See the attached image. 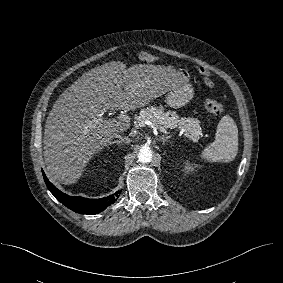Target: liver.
<instances>
[{
  "mask_svg": "<svg viewBox=\"0 0 283 283\" xmlns=\"http://www.w3.org/2000/svg\"><path fill=\"white\" fill-rule=\"evenodd\" d=\"M185 79L171 67L110 62L84 73L56 100L44 130V160L54 181L73 184L91 157L129 124L102 117L135 110Z\"/></svg>",
  "mask_w": 283,
  "mask_h": 283,
  "instance_id": "obj_1",
  "label": "liver"
}]
</instances>
